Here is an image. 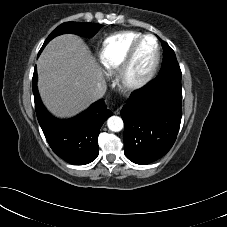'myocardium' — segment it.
<instances>
[{"label":"myocardium","instance_id":"obj_1","mask_svg":"<svg viewBox=\"0 0 227 227\" xmlns=\"http://www.w3.org/2000/svg\"><path fill=\"white\" fill-rule=\"evenodd\" d=\"M148 38L153 39L155 43V56L149 69L142 75L133 74V65L137 52L141 44ZM161 58L159 41L153 34H144L140 36L131 46L123 63L118 69L117 82L124 91H134L146 85L156 74Z\"/></svg>","mask_w":227,"mask_h":227}]
</instances>
